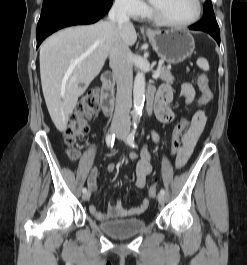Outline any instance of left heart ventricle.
Wrapping results in <instances>:
<instances>
[{
	"mask_svg": "<svg viewBox=\"0 0 247 265\" xmlns=\"http://www.w3.org/2000/svg\"><path fill=\"white\" fill-rule=\"evenodd\" d=\"M165 17L174 22H185L197 11L196 0H149Z\"/></svg>",
	"mask_w": 247,
	"mask_h": 265,
	"instance_id": "left-heart-ventricle-1",
	"label": "left heart ventricle"
}]
</instances>
